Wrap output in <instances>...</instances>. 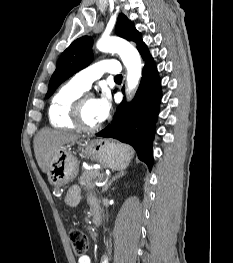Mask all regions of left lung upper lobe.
Wrapping results in <instances>:
<instances>
[{"mask_svg": "<svg viewBox=\"0 0 233 263\" xmlns=\"http://www.w3.org/2000/svg\"><path fill=\"white\" fill-rule=\"evenodd\" d=\"M115 32L118 36L135 42L139 51L145 45L141 34L124 14L118 16ZM91 48L92 38L83 36L72 42V44L61 54L56 70L50 79L46 98H49L56 88L67 78L87 67L92 62L93 54Z\"/></svg>", "mask_w": 233, "mask_h": 263, "instance_id": "5c2ea615", "label": "left lung upper lobe"}]
</instances>
